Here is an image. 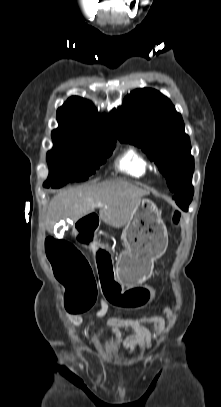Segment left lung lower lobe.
<instances>
[{
    "label": "left lung lower lobe",
    "mask_w": 221,
    "mask_h": 407,
    "mask_svg": "<svg viewBox=\"0 0 221 407\" xmlns=\"http://www.w3.org/2000/svg\"><path fill=\"white\" fill-rule=\"evenodd\" d=\"M193 192L194 191L178 194V195L174 196L173 199L176 200V202L180 208H182L184 211H187L188 206L193 198Z\"/></svg>",
    "instance_id": "obj_1"
}]
</instances>
